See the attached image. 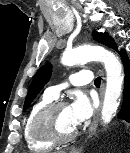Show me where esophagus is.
<instances>
[{"label": "esophagus", "instance_id": "esophagus-1", "mask_svg": "<svg viewBox=\"0 0 130 153\" xmlns=\"http://www.w3.org/2000/svg\"><path fill=\"white\" fill-rule=\"evenodd\" d=\"M101 75H102V78H103V82H102V86H101V90H100V106H99V108L96 112V115L94 117V120H93V122H92V124L89 128L88 136H90L93 133V131H95V129L98 125L100 111H101L102 104H103V96H104V91H105V83H104L105 76H104V71L103 70H101ZM71 153H77L76 149H72Z\"/></svg>", "mask_w": 130, "mask_h": 153}]
</instances>
